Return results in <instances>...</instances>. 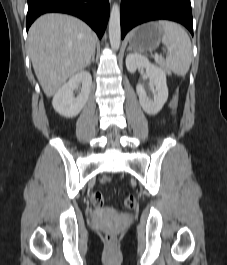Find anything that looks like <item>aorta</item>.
Listing matches in <instances>:
<instances>
[{"label": "aorta", "instance_id": "obj_1", "mask_svg": "<svg viewBox=\"0 0 227 265\" xmlns=\"http://www.w3.org/2000/svg\"><path fill=\"white\" fill-rule=\"evenodd\" d=\"M109 40L112 49L118 50L121 43L120 7L114 3L109 18Z\"/></svg>", "mask_w": 227, "mask_h": 265}]
</instances>
